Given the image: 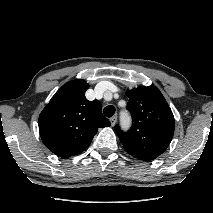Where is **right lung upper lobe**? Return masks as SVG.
<instances>
[{
  "instance_id": "obj_1",
  "label": "right lung upper lobe",
  "mask_w": 213,
  "mask_h": 213,
  "mask_svg": "<svg viewBox=\"0 0 213 213\" xmlns=\"http://www.w3.org/2000/svg\"><path fill=\"white\" fill-rule=\"evenodd\" d=\"M89 88L82 79L64 84L41 112L38 120L43 143L54 154L68 158L90 145L98 128L110 126L98 100L88 101Z\"/></svg>"
}]
</instances>
